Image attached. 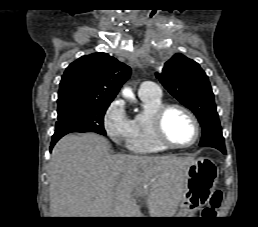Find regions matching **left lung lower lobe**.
Returning a JSON list of instances; mask_svg holds the SVG:
<instances>
[{"label": "left lung lower lobe", "instance_id": "1", "mask_svg": "<svg viewBox=\"0 0 258 227\" xmlns=\"http://www.w3.org/2000/svg\"><path fill=\"white\" fill-rule=\"evenodd\" d=\"M221 152H223L224 154H226V150H225V147L224 148H218Z\"/></svg>", "mask_w": 258, "mask_h": 227}]
</instances>
